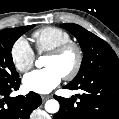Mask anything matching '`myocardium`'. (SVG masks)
I'll list each match as a JSON object with an SVG mask.
<instances>
[{"mask_svg": "<svg viewBox=\"0 0 119 119\" xmlns=\"http://www.w3.org/2000/svg\"><path fill=\"white\" fill-rule=\"evenodd\" d=\"M69 51H73L75 53L76 61H75L74 67L69 72L65 73L62 76L66 80L73 79L79 73V71L82 67L83 58H84L82 48L80 47L79 44H77L73 41H70V42L64 43L48 52V55H50V56L60 57Z\"/></svg>", "mask_w": 119, "mask_h": 119, "instance_id": "obj_1", "label": "myocardium"}]
</instances>
